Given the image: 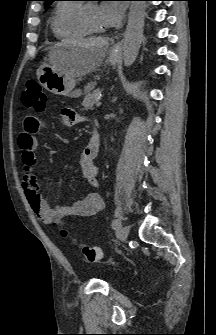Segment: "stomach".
I'll return each instance as SVG.
<instances>
[{"label":"stomach","mask_w":216,"mask_h":335,"mask_svg":"<svg viewBox=\"0 0 216 335\" xmlns=\"http://www.w3.org/2000/svg\"><path fill=\"white\" fill-rule=\"evenodd\" d=\"M77 51V47L68 45H57L50 49V64L37 70V79L47 91L72 98L81 95V90L75 88L76 78L62 70ZM118 60L119 51L116 49L110 50L107 62L114 66Z\"/></svg>","instance_id":"0dacf381"}]
</instances>
